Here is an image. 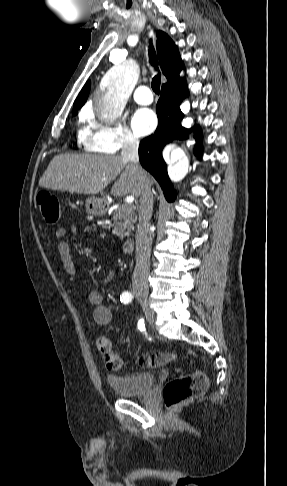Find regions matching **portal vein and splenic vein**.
Here are the masks:
<instances>
[{
    "mask_svg": "<svg viewBox=\"0 0 287 486\" xmlns=\"http://www.w3.org/2000/svg\"><path fill=\"white\" fill-rule=\"evenodd\" d=\"M133 201H134V197H128V198L126 199V202H127V203H132Z\"/></svg>",
    "mask_w": 287,
    "mask_h": 486,
    "instance_id": "portal-vein-and-splenic-vein-1",
    "label": "portal vein and splenic vein"
}]
</instances>
